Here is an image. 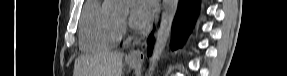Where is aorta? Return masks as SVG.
<instances>
[{"instance_id": "762f6f07", "label": "aorta", "mask_w": 287, "mask_h": 76, "mask_svg": "<svg viewBox=\"0 0 287 76\" xmlns=\"http://www.w3.org/2000/svg\"><path fill=\"white\" fill-rule=\"evenodd\" d=\"M178 0H163L160 28L150 58L148 75L151 76L165 50L170 37L173 20L178 8Z\"/></svg>"}]
</instances>
